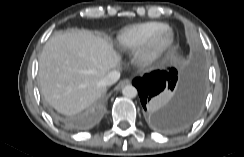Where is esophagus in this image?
Returning a JSON list of instances; mask_svg holds the SVG:
<instances>
[{
    "instance_id": "esophagus-1",
    "label": "esophagus",
    "mask_w": 244,
    "mask_h": 157,
    "mask_svg": "<svg viewBox=\"0 0 244 157\" xmlns=\"http://www.w3.org/2000/svg\"><path fill=\"white\" fill-rule=\"evenodd\" d=\"M130 80L129 79H123L121 80L115 87V90H120L122 89L124 86L130 84Z\"/></svg>"
}]
</instances>
